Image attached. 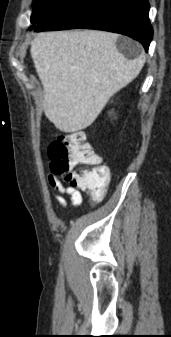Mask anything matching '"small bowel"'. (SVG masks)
<instances>
[{
	"label": "small bowel",
	"instance_id": "1",
	"mask_svg": "<svg viewBox=\"0 0 171 337\" xmlns=\"http://www.w3.org/2000/svg\"><path fill=\"white\" fill-rule=\"evenodd\" d=\"M47 179L51 188L56 192L55 201L61 208L66 209L67 206V202L63 195H68L70 197L73 206L78 207L81 205L82 194L78 188L64 184L61 179L54 174H49Z\"/></svg>",
	"mask_w": 171,
	"mask_h": 337
}]
</instances>
